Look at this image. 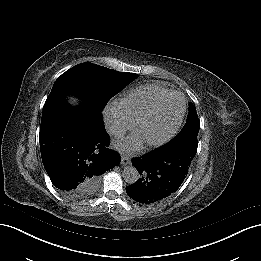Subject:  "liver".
<instances>
[{
    "instance_id": "1",
    "label": "liver",
    "mask_w": 261,
    "mask_h": 261,
    "mask_svg": "<svg viewBox=\"0 0 261 261\" xmlns=\"http://www.w3.org/2000/svg\"><path fill=\"white\" fill-rule=\"evenodd\" d=\"M68 102L71 105H77L78 104V99L74 98V97H69Z\"/></svg>"
}]
</instances>
